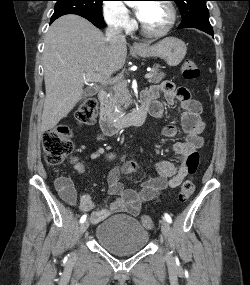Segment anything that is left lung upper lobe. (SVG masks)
Listing matches in <instances>:
<instances>
[{
    "mask_svg": "<svg viewBox=\"0 0 250 285\" xmlns=\"http://www.w3.org/2000/svg\"><path fill=\"white\" fill-rule=\"evenodd\" d=\"M177 4L182 22L178 29L182 28H204L212 29L209 22V12L206 6L208 0H173Z\"/></svg>",
    "mask_w": 250,
    "mask_h": 285,
    "instance_id": "1",
    "label": "left lung upper lobe"
}]
</instances>
